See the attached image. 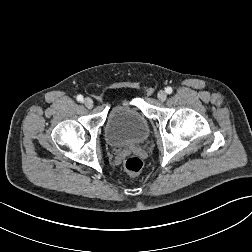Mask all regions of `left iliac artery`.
Returning a JSON list of instances; mask_svg holds the SVG:
<instances>
[{"label": "left iliac artery", "mask_w": 252, "mask_h": 252, "mask_svg": "<svg viewBox=\"0 0 252 252\" xmlns=\"http://www.w3.org/2000/svg\"><path fill=\"white\" fill-rule=\"evenodd\" d=\"M165 91H166V93L171 94L173 90H172L171 87H167V88L165 89Z\"/></svg>", "instance_id": "obj_1"}]
</instances>
